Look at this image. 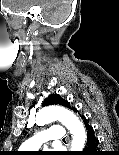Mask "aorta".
<instances>
[{"label":"aorta","instance_id":"1","mask_svg":"<svg viewBox=\"0 0 119 155\" xmlns=\"http://www.w3.org/2000/svg\"><path fill=\"white\" fill-rule=\"evenodd\" d=\"M60 121L71 133L72 151H82L86 142V133L83 124L71 111L60 106H48L41 109L36 116V124L43 126L53 121Z\"/></svg>","mask_w":119,"mask_h":155}]
</instances>
